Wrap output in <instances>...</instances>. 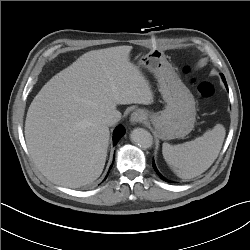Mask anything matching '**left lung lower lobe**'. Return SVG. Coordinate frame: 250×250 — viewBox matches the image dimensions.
<instances>
[{"instance_id":"1","label":"left lung lower lobe","mask_w":250,"mask_h":250,"mask_svg":"<svg viewBox=\"0 0 250 250\" xmlns=\"http://www.w3.org/2000/svg\"><path fill=\"white\" fill-rule=\"evenodd\" d=\"M221 77H222V80H223V82H224V84H225V86L227 87V83H226V80H225V77H224V75L223 74H221ZM153 167H154V169H155V171L157 172V174L163 179V180H165V181H167V182H169L168 180H166L159 172H158V170H157V168H156V166H155V163L153 162Z\"/></svg>"}]
</instances>
